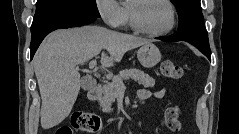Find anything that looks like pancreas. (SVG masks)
<instances>
[{
	"instance_id": "cf45deb5",
	"label": "pancreas",
	"mask_w": 239,
	"mask_h": 134,
	"mask_svg": "<svg viewBox=\"0 0 239 134\" xmlns=\"http://www.w3.org/2000/svg\"><path fill=\"white\" fill-rule=\"evenodd\" d=\"M130 78L137 81L139 85H142L145 88H151L155 85V80L141 70L130 68L120 71L119 75L113 77L112 82H108L103 86L104 95L100 99V107L103 112H112L113 109L111 108V105L115 102L117 97L119 84L123 82V80Z\"/></svg>"
}]
</instances>
